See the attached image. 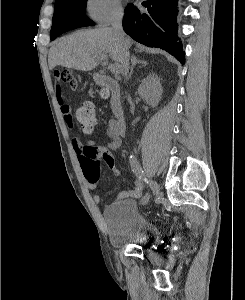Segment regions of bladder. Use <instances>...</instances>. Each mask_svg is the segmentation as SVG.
I'll return each instance as SVG.
<instances>
[{
    "label": "bladder",
    "mask_w": 245,
    "mask_h": 300,
    "mask_svg": "<svg viewBox=\"0 0 245 300\" xmlns=\"http://www.w3.org/2000/svg\"><path fill=\"white\" fill-rule=\"evenodd\" d=\"M103 218L114 246L143 244L160 235L158 225L139 210L134 199L122 198L110 203L104 209Z\"/></svg>",
    "instance_id": "1"
}]
</instances>
